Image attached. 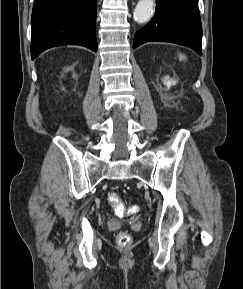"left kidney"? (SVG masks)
Returning a JSON list of instances; mask_svg holds the SVG:
<instances>
[{
    "instance_id": "left-kidney-1",
    "label": "left kidney",
    "mask_w": 243,
    "mask_h": 289,
    "mask_svg": "<svg viewBox=\"0 0 243 289\" xmlns=\"http://www.w3.org/2000/svg\"><path fill=\"white\" fill-rule=\"evenodd\" d=\"M163 82L168 88H170L171 85H175L176 84V81H174L172 79L170 80L169 77H165Z\"/></svg>"
}]
</instances>
